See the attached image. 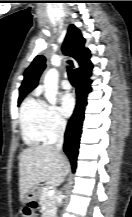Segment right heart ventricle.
<instances>
[{
    "label": "right heart ventricle",
    "mask_w": 132,
    "mask_h": 217,
    "mask_svg": "<svg viewBox=\"0 0 132 217\" xmlns=\"http://www.w3.org/2000/svg\"><path fill=\"white\" fill-rule=\"evenodd\" d=\"M46 105L34 96L27 97L20 109L21 135L30 147L39 146L47 141L43 124Z\"/></svg>",
    "instance_id": "1"
}]
</instances>
